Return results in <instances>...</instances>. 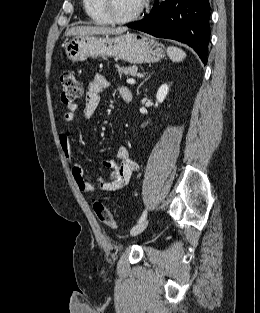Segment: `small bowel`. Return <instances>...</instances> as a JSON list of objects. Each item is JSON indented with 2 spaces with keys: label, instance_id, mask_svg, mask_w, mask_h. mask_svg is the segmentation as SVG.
Returning a JSON list of instances; mask_svg holds the SVG:
<instances>
[{
  "label": "small bowel",
  "instance_id": "obj_1",
  "mask_svg": "<svg viewBox=\"0 0 260 313\" xmlns=\"http://www.w3.org/2000/svg\"><path fill=\"white\" fill-rule=\"evenodd\" d=\"M108 85V80L101 74L96 75L90 81L86 92V102L83 112L86 119H90L95 115L100 104V96ZM119 96L124 102H130L132 99V94L127 87L119 88ZM76 111L77 105H71L68 111L64 113L63 120L66 123L72 122ZM59 143L70 164L74 182L82 193L95 194L98 191L115 193L125 188L132 175L138 170L137 164L130 157L127 148L120 147L117 152L120 162L114 160L104 161V165L110 168L111 172L106 177H99L97 185H93L85 178L82 166L75 159L70 136L62 132L59 135Z\"/></svg>",
  "mask_w": 260,
  "mask_h": 313
}]
</instances>
